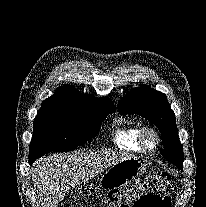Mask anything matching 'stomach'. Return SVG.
<instances>
[{
  "instance_id": "stomach-1",
  "label": "stomach",
  "mask_w": 206,
  "mask_h": 207,
  "mask_svg": "<svg viewBox=\"0 0 206 207\" xmlns=\"http://www.w3.org/2000/svg\"><path fill=\"white\" fill-rule=\"evenodd\" d=\"M148 164L141 158L124 159L111 166L100 178L99 186L103 190H115L143 175Z\"/></svg>"
}]
</instances>
